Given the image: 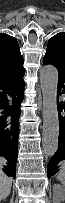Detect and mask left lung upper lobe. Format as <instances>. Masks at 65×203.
<instances>
[{
    "mask_svg": "<svg viewBox=\"0 0 65 203\" xmlns=\"http://www.w3.org/2000/svg\"><path fill=\"white\" fill-rule=\"evenodd\" d=\"M46 54L65 68V32H60L49 39Z\"/></svg>",
    "mask_w": 65,
    "mask_h": 203,
    "instance_id": "5c2ea615",
    "label": "left lung upper lobe"
}]
</instances>
